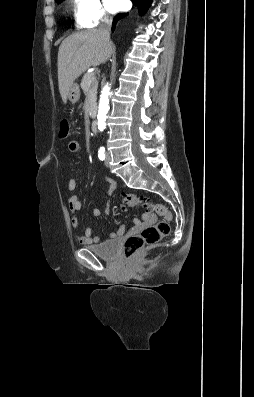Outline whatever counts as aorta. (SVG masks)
Instances as JSON below:
<instances>
[{"label": "aorta", "mask_w": 254, "mask_h": 397, "mask_svg": "<svg viewBox=\"0 0 254 397\" xmlns=\"http://www.w3.org/2000/svg\"><path fill=\"white\" fill-rule=\"evenodd\" d=\"M109 85H105L101 91L100 101H99V111H98V129L103 131L106 127V118L109 110Z\"/></svg>", "instance_id": "1"}]
</instances>
